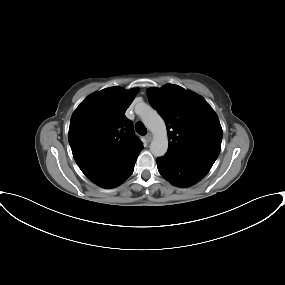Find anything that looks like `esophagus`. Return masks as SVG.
Here are the masks:
<instances>
[{"label": "esophagus", "mask_w": 285, "mask_h": 285, "mask_svg": "<svg viewBox=\"0 0 285 285\" xmlns=\"http://www.w3.org/2000/svg\"><path fill=\"white\" fill-rule=\"evenodd\" d=\"M147 142H150L152 139H153V135L151 133H148L146 136H145Z\"/></svg>", "instance_id": "esophagus-1"}]
</instances>
